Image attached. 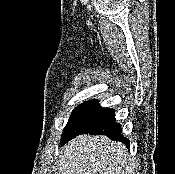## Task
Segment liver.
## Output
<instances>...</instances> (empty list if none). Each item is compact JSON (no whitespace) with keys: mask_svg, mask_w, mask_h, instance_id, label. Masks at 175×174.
<instances>
[{"mask_svg":"<svg viewBox=\"0 0 175 174\" xmlns=\"http://www.w3.org/2000/svg\"><path fill=\"white\" fill-rule=\"evenodd\" d=\"M59 174H134L127 148L106 136L79 135L61 149Z\"/></svg>","mask_w":175,"mask_h":174,"instance_id":"6515ba94","label":"liver"}]
</instances>
